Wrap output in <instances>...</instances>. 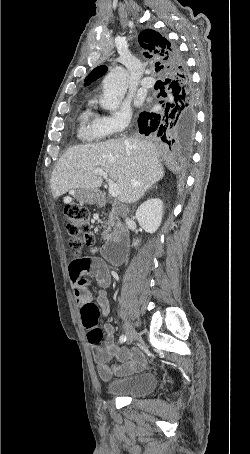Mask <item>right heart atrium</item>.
<instances>
[{
	"label": "right heart atrium",
	"instance_id": "d8ad5b80",
	"mask_svg": "<svg viewBox=\"0 0 250 454\" xmlns=\"http://www.w3.org/2000/svg\"><path fill=\"white\" fill-rule=\"evenodd\" d=\"M131 118L130 109L122 106L108 115L99 116V127L104 136L117 135L128 128Z\"/></svg>",
	"mask_w": 250,
	"mask_h": 454
}]
</instances>
